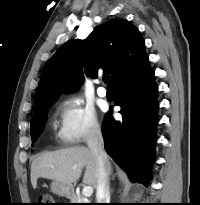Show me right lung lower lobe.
<instances>
[{
    "instance_id": "1",
    "label": "right lung lower lobe",
    "mask_w": 200,
    "mask_h": 205,
    "mask_svg": "<svg viewBox=\"0 0 200 205\" xmlns=\"http://www.w3.org/2000/svg\"><path fill=\"white\" fill-rule=\"evenodd\" d=\"M115 105L121 107L122 121L105 116L102 135L105 150L130 179L149 183L158 124V86L149 59L114 85Z\"/></svg>"
}]
</instances>
